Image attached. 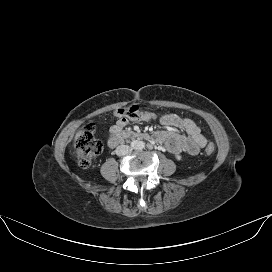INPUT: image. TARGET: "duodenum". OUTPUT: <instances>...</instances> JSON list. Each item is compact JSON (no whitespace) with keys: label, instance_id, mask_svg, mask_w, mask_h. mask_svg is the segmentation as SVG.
I'll list each match as a JSON object with an SVG mask.
<instances>
[{"label":"duodenum","instance_id":"duodenum-1","mask_svg":"<svg viewBox=\"0 0 272 272\" xmlns=\"http://www.w3.org/2000/svg\"><path fill=\"white\" fill-rule=\"evenodd\" d=\"M149 138L150 136L146 133H140L133 130H119L109 138L108 145L114 147L127 140H148Z\"/></svg>","mask_w":272,"mask_h":272}]
</instances>
